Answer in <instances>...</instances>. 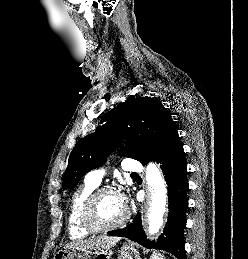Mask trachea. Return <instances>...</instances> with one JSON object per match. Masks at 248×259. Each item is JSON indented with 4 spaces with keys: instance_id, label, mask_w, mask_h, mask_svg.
<instances>
[{
    "instance_id": "3493384b",
    "label": "trachea",
    "mask_w": 248,
    "mask_h": 259,
    "mask_svg": "<svg viewBox=\"0 0 248 259\" xmlns=\"http://www.w3.org/2000/svg\"><path fill=\"white\" fill-rule=\"evenodd\" d=\"M132 175H137V174H135V173H132Z\"/></svg>"
}]
</instances>
